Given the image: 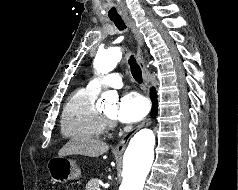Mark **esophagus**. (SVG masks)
Listing matches in <instances>:
<instances>
[{
  "mask_svg": "<svg viewBox=\"0 0 238 190\" xmlns=\"http://www.w3.org/2000/svg\"><path fill=\"white\" fill-rule=\"evenodd\" d=\"M126 25L131 29V31L133 32L135 39L137 41V61L139 63V66L142 70V75H143V80L144 83L148 86L149 85V77H148V70L145 64V61L143 59V56L141 54V47L143 45V37L141 32L139 31L138 27L136 26L135 22L129 18H125L124 19ZM150 118H147L146 120H144L142 123H140L138 126H136L133 130H131L130 132H128L123 138L122 140L116 145L115 150L119 153H122L124 151V149L126 148L130 138L135 134V132H137L140 128H142L145 124H147L149 122Z\"/></svg>",
  "mask_w": 238,
  "mask_h": 190,
  "instance_id": "esophagus-1",
  "label": "esophagus"
}]
</instances>
